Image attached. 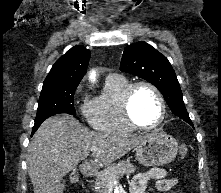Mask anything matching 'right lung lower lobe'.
Wrapping results in <instances>:
<instances>
[{"label": "right lung lower lobe", "mask_w": 221, "mask_h": 193, "mask_svg": "<svg viewBox=\"0 0 221 193\" xmlns=\"http://www.w3.org/2000/svg\"><path fill=\"white\" fill-rule=\"evenodd\" d=\"M41 125V123H35L34 127L32 129V135L34 134V132L39 128V126Z\"/></svg>", "instance_id": "98d812e1"}]
</instances>
